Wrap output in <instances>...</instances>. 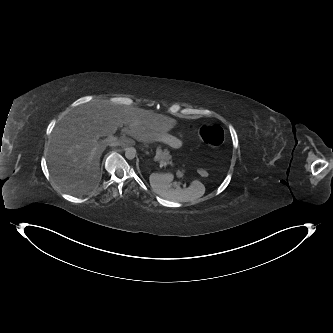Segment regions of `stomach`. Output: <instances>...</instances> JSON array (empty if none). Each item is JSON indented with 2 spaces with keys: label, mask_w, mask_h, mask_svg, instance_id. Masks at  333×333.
I'll list each match as a JSON object with an SVG mask.
<instances>
[{
  "label": "stomach",
  "mask_w": 333,
  "mask_h": 333,
  "mask_svg": "<svg viewBox=\"0 0 333 333\" xmlns=\"http://www.w3.org/2000/svg\"><path fill=\"white\" fill-rule=\"evenodd\" d=\"M164 142H168L169 141V144L171 145L172 148H176V147H180L181 146V142L179 140H177L176 138L166 134L164 136ZM176 143H175V142Z\"/></svg>",
  "instance_id": "stomach-1"
}]
</instances>
